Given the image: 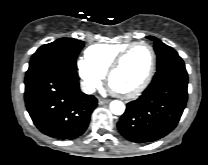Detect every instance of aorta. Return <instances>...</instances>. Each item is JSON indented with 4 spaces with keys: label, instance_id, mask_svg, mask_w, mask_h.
<instances>
[{
    "label": "aorta",
    "instance_id": "762f6f07",
    "mask_svg": "<svg viewBox=\"0 0 208 165\" xmlns=\"http://www.w3.org/2000/svg\"><path fill=\"white\" fill-rule=\"evenodd\" d=\"M110 110L115 115H122L125 111V105L119 100H114L110 103Z\"/></svg>",
    "mask_w": 208,
    "mask_h": 165
}]
</instances>
